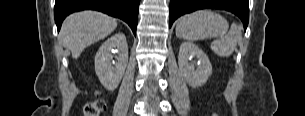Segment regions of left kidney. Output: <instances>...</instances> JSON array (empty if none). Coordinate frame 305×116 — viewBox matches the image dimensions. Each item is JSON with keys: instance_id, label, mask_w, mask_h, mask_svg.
Masks as SVG:
<instances>
[{"instance_id": "left-kidney-1", "label": "left kidney", "mask_w": 305, "mask_h": 116, "mask_svg": "<svg viewBox=\"0 0 305 116\" xmlns=\"http://www.w3.org/2000/svg\"><path fill=\"white\" fill-rule=\"evenodd\" d=\"M196 57L198 62L191 61ZM179 69L186 82L191 87H200L205 84L212 74V65L207 55L195 44L183 42L178 55Z\"/></svg>"}]
</instances>
